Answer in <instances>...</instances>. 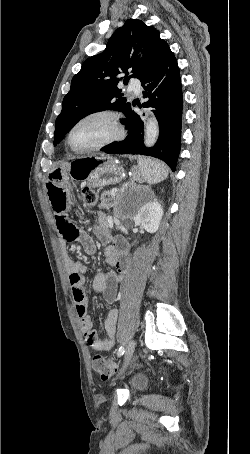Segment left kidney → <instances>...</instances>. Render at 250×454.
<instances>
[{"instance_id":"1","label":"left kidney","mask_w":250,"mask_h":454,"mask_svg":"<svg viewBox=\"0 0 250 454\" xmlns=\"http://www.w3.org/2000/svg\"><path fill=\"white\" fill-rule=\"evenodd\" d=\"M162 216L163 208L156 200H153L140 208L135 221L147 232L154 233L159 228Z\"/></svg>"}]
</instances>
